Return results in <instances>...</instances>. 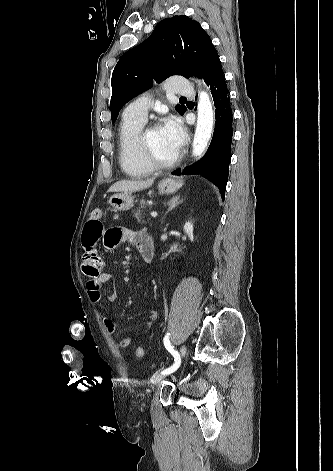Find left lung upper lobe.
Returning <instances> with one entry per match:
<instances>
[{"label": "left lung upper lobe", "instance_id": "left-lung-upper-lobe-1", "mask_svg": "<svg viewBox=\"0 0 333 471\" xmlns=\"http://www.w3.org/2000/svg\"><path fill=\"white\" fill-rule=\"evenodd\" d=\"M214 52L209 35L197 21L180 15L159 22L152 34L127 51L114 68L112 123L129 100L152 87L153 80L160 83L172 75L200 77ZM176 109L180 114L186 111L182 105Z\"/></svg>", "mask_w": 333, "mask_h": 471}]
</instances>
